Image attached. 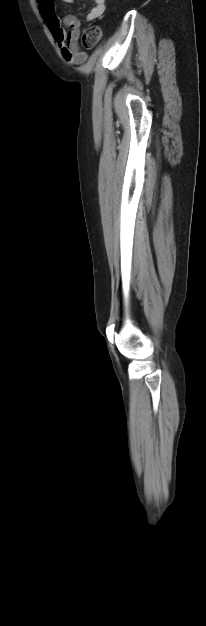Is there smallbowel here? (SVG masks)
<instances>
[{"label":"small bowel","mask_w":206,"mask_h":626,"mask_svg":"<svg viewBox=\"0 0 206 626\" xmlns=\"http://www.w3.org/2000/svg\"><path fill=\"white\" fill-rule=\"evenodd\" d=\"M63 2L72 4L75 0H63ZM94 3V7L86 15L87 21L99 19L105 12L106 0H94ZM39 6L63 59L69 64H83L87 60V53L81 50L78 45L79 19L72 14L63 18L57 16L54 0H39Z\"/></svg>","instance_id":"c3829d8e"}]
</instances>
